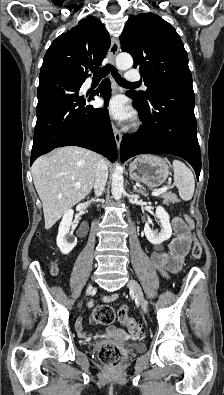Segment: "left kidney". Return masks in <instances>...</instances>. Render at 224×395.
Instances as JSON below:
<instances>
[{"mask_svg":"<svg viewBox=\"0 0 224 395\" xmlns=\"http://www.w3.org/2000/svg\"><path fill=\"white\" fill-rule=\"evenodd\" d=\"M156 217L159 219L161 231H153L149 223L145 224L144 233L148 241L154 245H159L168 240L172 235V228L170 225V216L161 206L156 209Z\"/></svg>","mask_w":224,"mask_h":395,"instance_id":"1","label":"left kidney"}]
</instances>
